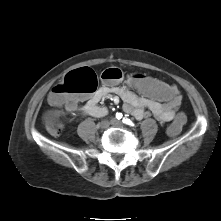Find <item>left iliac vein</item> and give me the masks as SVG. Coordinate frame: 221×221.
I'll return each instance as SVG.
<instances>
[{
	"label": "left iliac vein",
	"instance_id": "1",
	"mask_svg": "<svg viewBox=\"0 0 221 221\" xmlns=\"http://www.w3.org/2000/svg\"><path fill=\"white\" fill-rule=\"evenodd\" d=\"M111 124L115 127H123V123L118 120H111Z\"/></svg>",
	"mask_w": 221,
	"mask_h": 221
}]
</instances>
